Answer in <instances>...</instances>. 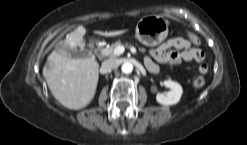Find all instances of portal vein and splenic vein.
I'll use <instances>...</instances> for the list:
<instances>
[{
    "mask_svg": "<svg viewBox=\"0 0 247 145\" xmlns=\"http://www.w3.org/2000/svg\"><path fill=\"white\" fill-rule=\"evenodd\" d=\"M124 51H125L124 46H118V47H116V48L114 49V54H115V55H121V54L124 53Z\"/></svg>",
    "mask_w": 247,
    "mask_h": 145,
    "instance_id": "obj_1",
    "label": "portal vein and splenic vein"
}]
</instances>
